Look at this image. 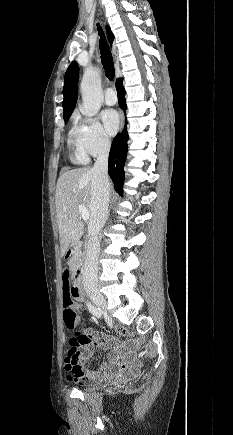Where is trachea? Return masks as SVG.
Masks as SVG:
<instances>
[{"label":"trachea","mask_w":233,"mask_h":435,"mask_svg":"<svg viewBox=\"0 0 233 435\" xmlns=\"http://www.w3.org/2000/svg\"><path fill=\"white\" fill-rule=\"evenodd\" d=\"M97 29H98L99 35L101 37L100 41H99V46H100V53H101L103 68L105 70L106 77L109 80H113V77L115 74L113 57H112V54L110 52L107 41L105 39L102 28L100 26H98Z\"/></svg>","instance_id":"1"}]
</instances>
